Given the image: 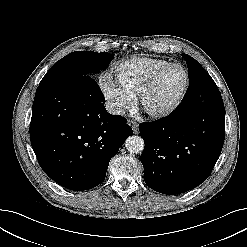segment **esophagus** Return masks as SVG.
Here are the masks:
<instances>
[{"label":"esophagus","mask_w":247,"mask_h":247,"mask_svg":"<svg viewBox=\"0 0 247 247\" xmlns=\"http://www.w3.org/2000/svg\"><path fill=\"white\" fill-rule=\"evenodd\" d=\"M128 124L132 127V129H133V131H134L135 133L138 132V124H137L136 121L129 120V121H128Z\"/></svg>","instance_id":"obj_1"}]
</instances>
